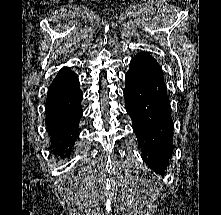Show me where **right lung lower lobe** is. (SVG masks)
<instances>
[{
    "label": "right lung lower lobe",
    "instance_id": "1",
    "mask_svg": "<svg viewBox=\"0 0 221 215\" xmlns=\"http://www.w3.org/2000/svg\"><path fill=\"white\" fill-rule=\"evenodd\" d=\"M82 97L78 76L69 68H62L52 81L46 100V124L52 136L54 154L64 157L78 136V121L83 114Z\"/></svg>",
    "mask_w": 221,
    "mask_h": 215
}]
</instances>
